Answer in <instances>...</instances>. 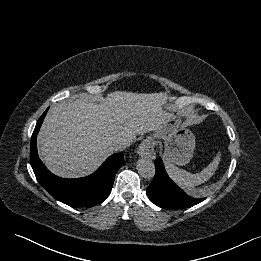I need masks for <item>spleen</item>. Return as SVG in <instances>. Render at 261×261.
I'll list each match as a JSON object with an SVG mask.
<instances>
[{
	"label": "spleen",
	"mask_w": 261,
	"mask_h": 261,
	"mask_svg": "<svg viewBox=\"0 0 261 261\" xmlns=\"http://www.w3.org/2000/svg\"><path fill=\"white\" fill-rule=\"evenodd\" d=\"M221 159V152L219 151L213 161L204 168L201 172L192 174L182 170L172 163H166L165 167L170 178L175 181L182 188H193L210 179L218 168Z\"/></svg>",
	"instance_id": "3e777b00"
}]
</instances>
